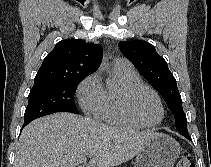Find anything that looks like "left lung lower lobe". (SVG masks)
Returning a JSON list of instances; mask_svg holds the SVG:
<instances>
[{
  "label": "left lung lower lobe",
  "mask_w": 211,
  "mask_h": 167,
  "mask_svg": "<svg viewBox=\"0 0 211 167\" xmlns=\"http://www.w3.org/2000/svg\"><path fill=\"white\" fill-rule=\"evenodd\" d=\"M181 135H183L186 138H189V134H181Z\"/></svg>",
  "instance_id": "left-lung-lower-lobe-1"
}]
</instances>
